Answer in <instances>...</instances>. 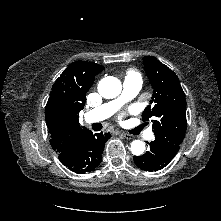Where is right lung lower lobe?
<instances>
[{"label":"right lung lower lobe","instance_id":"98d812e1","mask_svg":"<svg viewBox=\"0 0 221 221\" xmlns=\"http://www.w3.org/2000/svg\"><path fill=\"white\" fill-rule=\"evenodd\" d=\"M110 133L87 131L81 138L77 148L59 153L62 164L77 174L93 171L102 160V152Z\"/></svg>","mask_w":221,"mask_h":221}]
</instances>
